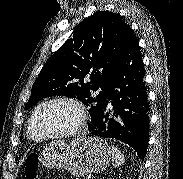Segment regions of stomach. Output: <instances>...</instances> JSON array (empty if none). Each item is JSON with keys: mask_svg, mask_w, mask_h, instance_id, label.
Listing matches in <instances>:
<instances>
[{"mask_svg": "<svg viewBox=\"0 0 183 179\" xmlns=\"http://www.w3.org/2000/svg\"><path fill=\"white\" fill-rule=\"evenodd\" d=\"M112 158L111 149L101 138L80 137L66 144L57 140L46 145L40 163L48 169H66L74 176L104 170Z\"/></svg>", "mask_w": 183, "mask_h": 179, "instance_id": "obj_1", "label": "stomach"}]
</instances>
